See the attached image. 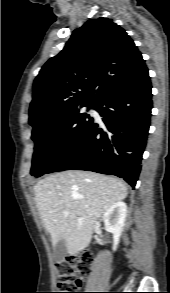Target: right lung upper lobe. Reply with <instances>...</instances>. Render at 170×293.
<instances>
[{"label":"right lung upper lobe","mask_w":170,"mask_h":293,"mask_svg":"<svg viewBox=\"0 0 170 293\" xmlns=\"http://www.w3.org/2000/svg\"><path fill=\"white\" fill-rule=\"evenodd\" d=\"M145 69L141 53L120 26L107 18L91 19L34 80L29 124L36 128L77 106L95 105Z\"/></svg>","instance_id":"right-lung-upper-lobe-1"}]
</instances>
